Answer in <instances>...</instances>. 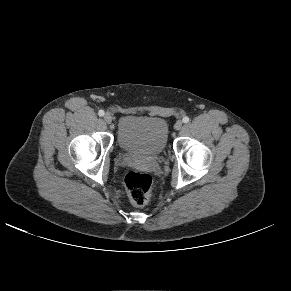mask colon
I'll return each instance as SVG.
<instances>
[{
  "instance_id": "1",
  "label": "colon",
  "mask_w": 291,
  "mask_h": 291,
  "mask_svg": "<svg viewBox=\"0 0 291 291\" xmlns=\"http://www.w3.org/2000/svg\"><path fill=\"white\" fill-rule=\"evenodd\" d=\"M125 186L134 205H145L151 194L152 177L144 172L130 171L125 176Z\"/></svg>"
}]
</instances>
